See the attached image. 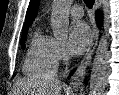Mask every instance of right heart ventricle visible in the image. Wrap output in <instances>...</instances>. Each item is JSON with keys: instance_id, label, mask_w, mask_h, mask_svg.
<instances>
[{"instance_id": "e07e8e85", "label": "right heart ventricle", "mask_w": 119, "mask_h": 95, "mask_svg": "<svg viewBox=\"0 0 119 95\" xmlns=\"http://www.w3.org/2000/svg\"><path fill=\"white\" fill-rule=\"evenodd\" d=\"M56 69L55 39L37 30L30 41L23 71L32 77H52Z\"/></svg>"}]
</instances>
